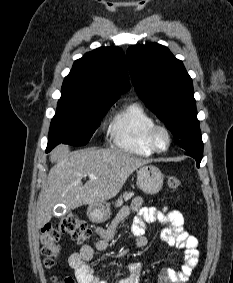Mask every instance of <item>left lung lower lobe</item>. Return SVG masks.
<instances>
[{
  "instance_id": "0a47b994",
  "label": "left lung lower lobe",
  "mask_w": 233,
  "mask_h": 283,
  "mask_svg": "<svg viewBox=\"0 0 233 283\" xmlns=\"http://www.w3.org/2000/svg\"><path fill=\"white\" fill-rule=\"evenodd\" d=\"M186 155L193 157L197 162V166H199L202 159L203 151H189L186 153Z\"/></svg>"
}]
</instances>
